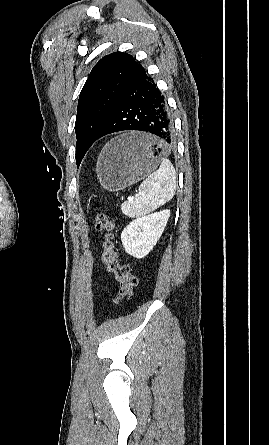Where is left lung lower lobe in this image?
<instances>
[{
  "label": "left lung lower lobe",
  "instance_id": "1",
  "mask_svg": "<svg viewBox=\"0 0 269 445\" xmlns=\"http://www.w3.org/2000/svg\"><path fill=\"white\" fill-rule=\"evenodd\" d=\"M123 130L149 132L169 144L173 141V123L167 102L141 64L130 76L97 139Z\"/></svg>",
  "mask_w": 269,
  "mask_h": 445
}]
</instances>
